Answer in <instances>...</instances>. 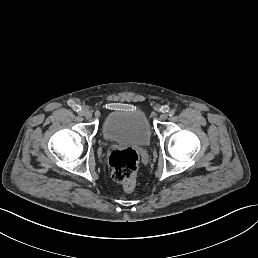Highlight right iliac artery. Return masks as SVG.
<instances>
[{"label": "right iliac artery", "instance_id": "1", "mask_svg": "<svg viewBox=\"0 0 258 258\" xmlns=\"http://www.w3.org/2000/svg\"><path fill=\"white\" fill-rule=\"evenodd\" d=\"M78 115H79V116H83L84 113L80 111V112L78 113Z\"/></svg>", "mask_w": 258, "mask_h": 258}]
</instances>
